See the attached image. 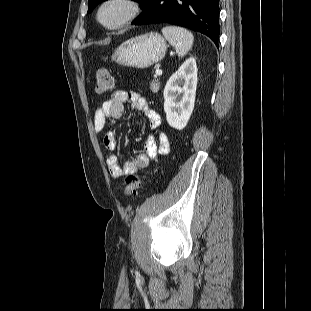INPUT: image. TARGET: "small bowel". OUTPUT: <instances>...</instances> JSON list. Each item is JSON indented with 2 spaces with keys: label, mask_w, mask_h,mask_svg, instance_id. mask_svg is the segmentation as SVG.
I'll return each instance as SVG.
<instances>
[{
  "label": "small bowel",
  "mask_w": 311,
  "mask_h": 311,
  "mask_svg": "<svg viewBox=\"0 0 311 311\" xmlns=\"http://www.w3.org/2000/svg\"><path fill=\"white\" fill-rule=\"evenodd\" d=\"M130 103L134 110L144 114L151 129H157L161 124L159 114L148 106L146 99L134 91L118 90L103 101L96 109L93 127L96 133H101L113 121L120 119L124 113V106ZM103 145L108 154L106 165L110 175L117 179L124 174H135L144 171L150 161L157 160L158 156L166 155L170 150V141L164 132L157 137L149 135L143 144L144 153L138 154L134 160L121 163L115 154L117 146L116 134L107 131L103 136Z\"/></svg>",
  "instance_id": "obj_1"
}]
</instances>
